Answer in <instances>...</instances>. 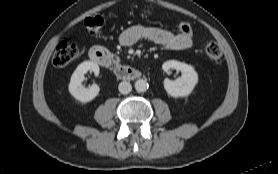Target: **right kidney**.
<instances>
[{
    "label": "right kidney",
    "mask_w": 278,
    "mask_h": 174,
    "mask_svg": "<svg viewBox=\"0 0 278 174\" xmlns=\"http://www.w3.org/2000/svg\"><path fill=\"white\" fill-rule=\"evenodd\" d=\"M88 71L94 72V74L97 76L99 74L98 64L92 61H84L81 64H79L71 76V80L68 87L70 94L75 99L83 103L92 101L100 91V88L97 84H93L88 88H85L82 85L84 75Z\"/></svg>",
    "instance_id": "ca27d5eb"
}]
</instances>
